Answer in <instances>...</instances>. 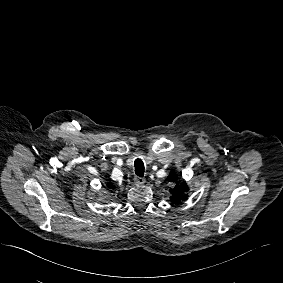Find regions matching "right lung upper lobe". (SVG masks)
<instances>
[{"label": "right lung upper lobe", "mask_w": 283, "mask_h": 283, "mask_svg": "<svg viewBox=\"0 0 283 283\" xmlns=\"http://www.w3.org/2000/svg\"><path fill=\"white\" fill-rule=\"evenodd\" d=\"M106 186L109 187V188L113 187L112 183H107Z\"/></svg>", "instance_id": "1"}]
</instances>
